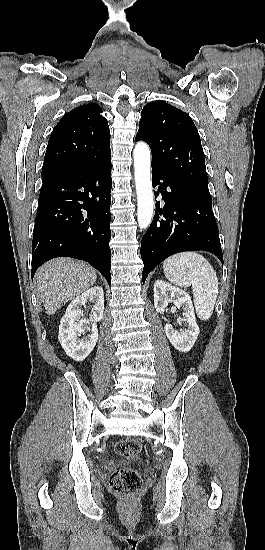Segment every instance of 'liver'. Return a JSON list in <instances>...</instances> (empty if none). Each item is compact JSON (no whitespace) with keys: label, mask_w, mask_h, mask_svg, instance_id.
I'll use <instances>...</instances> for the list:
<instances>
[{"label":"liver","mask_w":265,"mask_h":550,"mask_svg":"<svg viewBox=\"0 0 265 550\" xmlns=\"http://www.w3.org/2000/svg\"><path fill=\"white\" fill-rule=\"evenodd\" d=\"M36 285L48 315L93 286L97 279L89 264L71 258H56L37 271Z\"/></svg>","instance_id":"1"}]
</instances>
